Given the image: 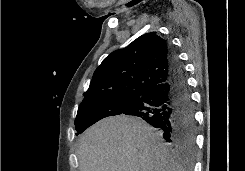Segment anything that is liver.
<instances>
[{"label":"liver","instance_id":"6515ba94","mask_svg":"<svg viewBox=\"0 0 245 171\" xmlns=\"http://www.w3.org/2000/svg\"><path fill=\"white\" fill-rule=\"evenodd\" d=\"M80 171H184L161 142V134L139 118H105L80 137Z\"/></svg>","mask_w":245,"mask_h":171}]
</instances>
